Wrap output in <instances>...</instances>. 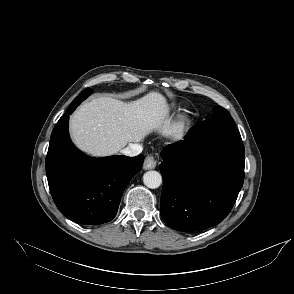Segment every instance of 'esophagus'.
<instances>
[{"mask_svg":"<svg viewBox=\"0 0 294 294\" xmlns=\"http://www.w3.org/2000/svg\"><path fill=\"white\" fill-rule=\"evenodd\" d=\"M156 161L152 156H147L144 160L143 168L145 170L154 169L156 167Z\"/></svg>","mask_w":294,"mask_h":294,"instance_id":"obj_1","label":"esophagus"}]
</instances>
